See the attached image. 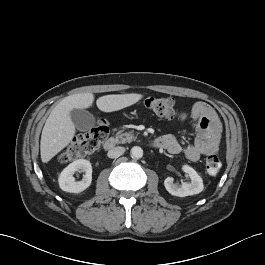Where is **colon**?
Returning a JSON list of instances; mask_svg holds the SVG:
<instances>
[{
  "label": "colon",
  "instance_id": "1",
  "mask_svg": "<svg viewBox=\"0 0 265 265\" xmlns=\"http://www.w3.org/2000/svg\"><path fill=\"white\" fill-rule=\"evenodd\" d=\"M144 106L150 112L164 118H174L180 116L187 118L190 116L188 110L179 111L172 98L150 97L144 101ZM109 128L105 120H99L93 128L85 134L75 137L61 153L60 158L63 162L82 158L95 153L103 140L108 136ZM221 169V161L216 155H209L205 162L207 175L216 176Z\"/></svg>",
  "mask_w": 265,
  "mask_h": 265
}]
</instances>
